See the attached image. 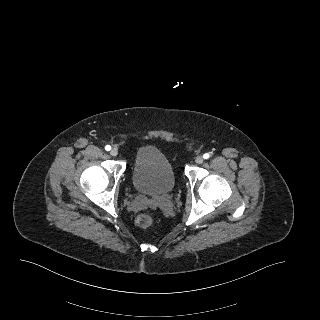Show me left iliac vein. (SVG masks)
<instances>
[{
    "mask_svg": "<svg viewBox=\"0 0 320 320\" xmlns=\"http://www.w3.org/2000/svg\"><path fill=\"white\" fill-rule=\"evenodd\" d=\"M203 161H204V159H203V157L202 156H197L196 157V159H195V162L197 163V164H201V163H203Z\"/></svg>",
    "mask_w": 320,
    "mask_h": 320,
    "instance_id": "left-iliac-vein-1",
    "label": "left iliac vein"
}]
</instances>
